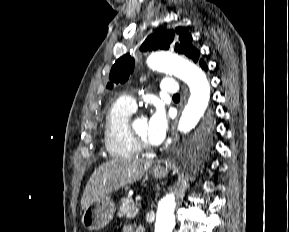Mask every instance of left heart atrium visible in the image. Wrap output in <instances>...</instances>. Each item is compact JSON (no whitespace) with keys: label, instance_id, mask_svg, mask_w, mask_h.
<instances>
[{"label":"left heart atrium","instance_id":"obj_1","mask_svg":"<svg viewBox=\"0 0 289 232\" xmlns=\"http://www.w3.org/2000/svg\"><path fill=\"white\" fill-rule=\"evenodd\" d=\"M168 121L164 110L156 107L147 119V134L149 142L153 145L160 144L166 137Z\"/></svg>","mask_w":289,"mask_h":232}]
</instances>
